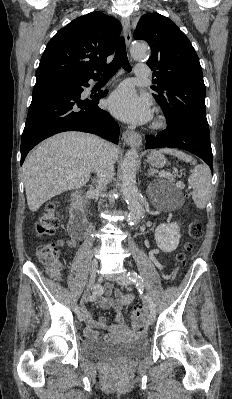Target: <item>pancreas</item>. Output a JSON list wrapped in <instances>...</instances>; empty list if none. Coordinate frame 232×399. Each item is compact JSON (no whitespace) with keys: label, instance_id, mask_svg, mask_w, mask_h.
<instances>
[{"label":"pancreas","instance_id":"1","mask_svg":"<svg viewBox=\"0 0 232 399\" xmlns=\"http://www.w3.org/2000/svg\"><path fill=\"white\" fill-rule=\"evenodd\" d=\"M168 176H163V178H166V180H169V182H175V178L176 176H172V174H169V172H167Z\"/></svg>","mask_w":232,"mask_h":399}]
</instances>
